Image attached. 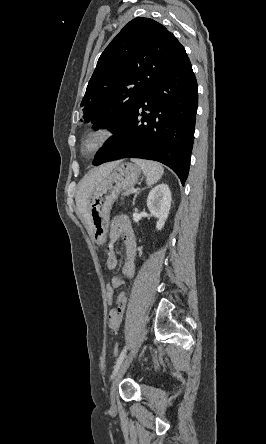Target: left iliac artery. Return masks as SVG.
<instances>
[{
    "label": "left iliac artery",
    "mask_w": 266,
    "mask_h": 444,
    "mask_svg": "<svg viewBox=\"0 0 266 444\" xmlns=\"http://www.w3.org/2000/svg\"><path fill=\"white\" fill-rule=\"evenodd\" d=\"M126 352H127V347H125V348L122 350V352H121L119 358L117 359V362H116V364H115V366H114V370H113V374H112L111 378L113 377V375L115 374V372L117 371V369L119 368V366L121 365V363L123 362V360H124V358H125V356H126Z\"/></svg>",
    "instance_id": "left-iliac-artery-1"
}]
</instances>
